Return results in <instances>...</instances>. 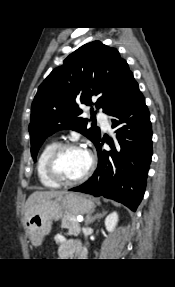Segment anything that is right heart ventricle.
<instances>
[{"label": "right heart ventricle", "mask_w": 175, "mask_h": 287, "mask_svg": "<svg viewBox=\"0 0 175 287\" xmlns=\"http://www.w3.org/2000/svg\"><path fill=\"white\" fill-rule=\"evenodd\" d=\"M57 141H50L41 149L36 163V172L40 183L46 188H58L60 185L51 180L46 172L47 160L51 152L57 147Z\"/></svg>", "instance_id": "e07e8e85"}]
</instances>
